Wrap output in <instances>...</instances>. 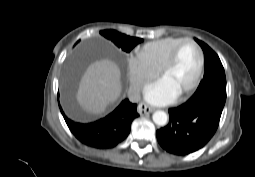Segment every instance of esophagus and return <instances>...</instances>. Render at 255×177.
Returning a JSON list of instances; mask_svg holds the SVG:
<instances>
[{
  "label": "esophagus",
  "instance_id": "esophagus-1",
  "mask_svg": "<svg viewBox=\"0 0 255 177\" xmlns=\"http://www.w3.org/2000/svg\"><path fill=\"white\" fill-rule=\"evenodd\" d=\"M155 110L154 107H151V106H148L147 104L145 103H140L138 105V108H137V111L140 115H145V114H148V113H151Z\"/></svg>",
  "mask_w": 255,
  "mask_h": 177
}]
</instances>
